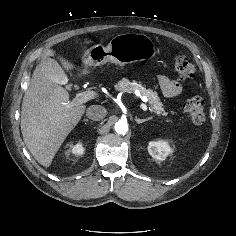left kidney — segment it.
<instances>
[{
	"label": "left kidney",
	"instance_id": "1",
	"mask_svg": "<svg viewBox=\"0 0 236 236\" xmlns=\"http://www.w3.org/2000/svg\"><path fill=\"white\" fill-rule=\"evenodd\" d=\"M149 154L156 160L163 161L172 152L166 141H152L148 144Z\"/></svg>",
	"mask_w": 236,
	"mask_h": 236
}]
</instances>
